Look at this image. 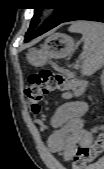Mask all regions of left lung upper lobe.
I'll use <instances>...</instances> for the list:
<instances>
[{
	"instance_id": "obj_1",
	"label": "left lung upper lobe",
	"mask_w": 104,
	"mask_h": 169,
	"mask_svg": "<svg viewBox=\"0 0 104 169\" xmlns=\"http://www.w3.org/2000/svg\"><path fill=\"white\" fill-rule=\"evenodd\" d=\"M64 1H66L67 5H65L62 8H55L54 14L50 16L41 27H39L36 31L26 33L25 39L34 36L41 30L49 31L50 29L62 23L63 20H65L74 11V9L78 4V0H64ZM40 10L41 9H35V18L32 20L29 31L33 30L36 24L38 23L37 17L40 14Z\"/></svg>"
}]
</instances>
